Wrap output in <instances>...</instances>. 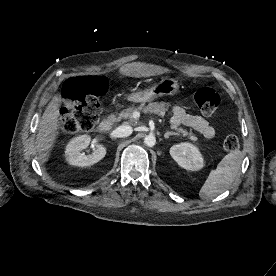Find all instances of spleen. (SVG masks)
Segmentation results:
<instances>
[{"instance_id":"1","label":"spleen","mask_w":276,"mask_h":276,"mask_svg":"<svg viewBox=\"0 0 276 276\" xmlns=\"http://www.w3.org/2000/svg\"><path fill=\"white\" fill-rule=\"evenodd\" d=\"M243 160V154L234 150L227 154L209 173L205 183L199 191L201 199H212L224 192L235 180Z\"/></svg>"}]
</instances>
